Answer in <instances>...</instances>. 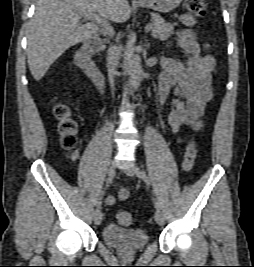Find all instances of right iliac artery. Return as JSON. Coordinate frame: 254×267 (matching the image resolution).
Masks as SVG:
<instances>
[{"label": "right iliac artery", "mask_w": 254, "mask_h": 267, "mask_svg": "<svg viewBox=\"0 0 254 267\" xmlns=\"http://www.w3.org/2000/svg\"><path fill=\"white\" fill-rule=\"evenodd\" d=\"M113 177H114V171L111 172L110 174H108V178L106 180V187H108L112 180H113ZM104 195V191L101 192V195L100 197L98 198L97 202H96V207L97 208H100L101 207V204H102V196Z\"/></svg>", "instance_id": "1"}]
</instances>
